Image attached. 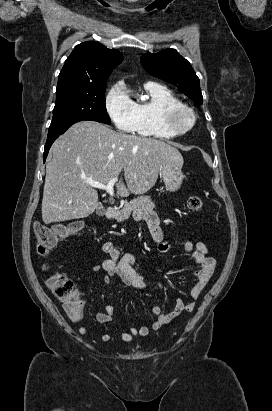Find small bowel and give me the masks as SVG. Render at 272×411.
Wrapping results in <instances>:
<instances>
[{"mask_svg":"<svg viewBox=\"0 0 272 411\" xmlns=\"http://www.w3.org/2000/svg\"><path fill=\"white\" fill-rule=\"evenodd\" d=\"M136 218L146 223L149 232L156 243L158 253H167L170 250L171 245L164 240V235L156 215L149 209H141L136 213ZM181 247L185 252L191 255L197 266V269L193 272L196 281L190 291L191 301L186 303L181 298H178L175 307L169 313H163L160 305H154L151 309L152 313L156 316V319L151 325V329L154 331H157L170 323L183 311H192L195 308L196 300L200 297L215 271L216 260L213 257L207 256L208 248L205 243L201 241L192 242L187 240L182 242ZM102 251L107 255V258L101 265H92L89 268L91 272L97 273L103 271L105 273L103 282L106 284H109L113 277H119L127 286L137 290L144 289L145 283L136 270V257L134 255H122L121 251L109 241L103 243ZM159 287L162 289L163 284L159 283ZM94 318L100 323L114 321L116 318L114 307L112 305H107L105 311L95 313ZM149 332L150 329L147 326H132L121 333V339L126 343H131L135 337L147 336ZM79 333L81 335H86L89 333V329L82 326L79 328ZM101 340L108 342L111 340V335L109 333H104L101 335Z\"/></svg>","mask_w":272,"mask_h":411,"instance_id":"small-bowel-1","label":"small bowel"}]
</instances>
